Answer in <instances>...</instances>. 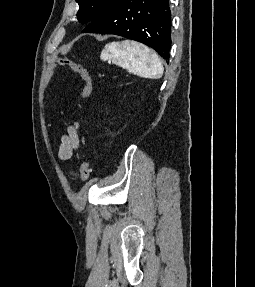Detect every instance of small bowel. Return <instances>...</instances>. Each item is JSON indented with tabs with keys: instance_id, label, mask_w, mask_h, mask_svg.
<instances>
[{
	"instance_id": "c3829d8e",
	"label": "small bowel",
	"mask_w": 255,
	"mask_h": 287,
	"mask_svg": "<svg viewBox=\"0 0 255 287\" xmlns=\"http://www.w3.org/2000/svg\"><path fill=\"white\" fill-rule=\"evenodd\" d=\"M79 148L78 125H70L67 132L61 136L58 149V159L61 161L69 160L74 152Z\"/></svg>"
}]
</instances>
